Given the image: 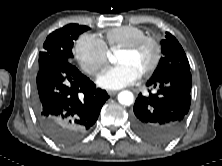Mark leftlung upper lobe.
I'll list each match as a JSON object with an SVG mask.
<instances>
[{"label": "left lung upper lobe", "instance_id": "1", "mask_svg": "<svg viewBox=\"0 0 222 166\" xmlns=\"http://www.w3.org/2000/svg\"><path fill=\"white\" fill-rule=\"evenodd\" d=\"M162 54L153 77H159L177 71H190L186 54L177 39L166 32L165 39L161 41Z\"/></svg>", "mask_w": 222, "mask_h": 166}]
</instances>
